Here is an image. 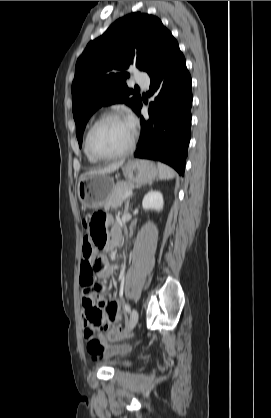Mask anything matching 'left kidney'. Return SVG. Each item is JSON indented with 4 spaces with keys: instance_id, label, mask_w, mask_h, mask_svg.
<instances>
[{
    "instance_id": "5707ae66",
    "label": "left kidney",
    "mask_w": 271,
    "mask_h": 418,
    "mask_svg": "<svg viewBox=\"0 0 271 418\" xmlns=\"http://www.w3.org/2000/svg\"><path fill=\"white\" fill-rule=\"evenodd\" d=\"M163 196L159 191H149L143 198L142 207L145 210L160 211L163 208Z\"/></svg>"
}]
</instances>
